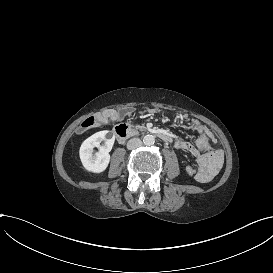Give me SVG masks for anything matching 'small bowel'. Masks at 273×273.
<instances>
[{"label":"small bowel","mask_w":273,"mask_h":273,"mask_svg":"<svg viewBox=\"0 0 273 273\" xmlns=\"http://www.w3.org/2000/svg\"><path fill=\"white\" fill-rule=\"evenodd\" d=\"M118 115L114 112H107L102 115L100 119L101 125H109L110 123L117 120ZM93 125L92 121H86L83 126L85 128ZM193 129L199 134L195 145L190 142L183 141L180 143V148L192 156L196 157L199 164V170L196 174V178L200 182H207L210 180L221 168L223 163V152L221 149L213 148L211 146L212 142H215V137L211 130L196 122L193 125ZM186 172L189 175H193L195 170L192 166L186 167Z\"/></svg>","instance_id":"1"}]
</instances>
